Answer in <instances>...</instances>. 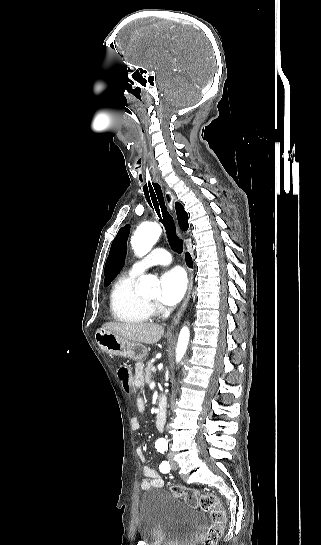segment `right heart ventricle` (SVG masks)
Here are the masks:
<instances>
[{
    "label": "right heart ventricle",
    "instance_id": "obj_1",
    "mask_svg": "<svg viewBox=\"0 0 321 545\" xmlns=\"http://www.w3.org/2000/svg\"><path fill=\"white\" fill-rule=\"evenodd\" d=\"M135 278L136 275L131 272H121L111 289L109 310L112 319L118 323L142 324L151 321L156 315L152 308L137 297Z\"/></svg>",
    "mask_w": 321,
    "mask_h": 545
}]
</instances>
